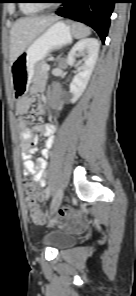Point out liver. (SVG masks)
<instances>
[{
  "label": "liver",
  "mask_w": 136,
  "mask_h": 296,
  "mask_svg": "<svg viewBox=\"0 0 136 296\" xmlns=\"http://www.w3.org/2000/svg\"><path fill=\"white\" fill-rule=\"evenodd\" d=\"M58 19L55 16L18 19L10 31V62L13 63L41 33Z\"/></svg>",
  "instance_id": "6515ba94"
}]
</instances>
